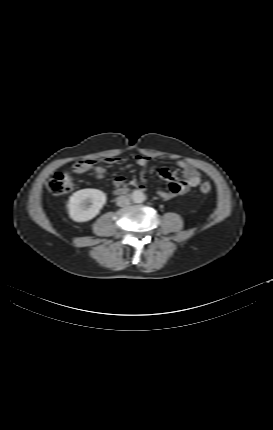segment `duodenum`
I'll list each match as a JSON object with an SVG mask.
<instances>
[{"label":"duodenum","instance_id":"1","mask_svg":"<svg viewBox=\"0 0 273 430\" xmlns=\"http://www.w3.org/2000/svg\"><path fill=\"white\" fill-rule=\"evenodd\" d=\"M127 191H128L127 188L122 187V188L117 189L115 193L116 194H124Z\"/></svg>","mask_w":273,"mask_h":430}]
</instances>
